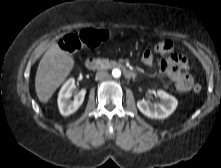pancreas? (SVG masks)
Segmentation results:
<instances>
[{
	"label": "pancreas",
	"mask_w": 221,
	"mask_h": 168,
	"mask_svg": "<svg viewBox=\"0 0 221 168\" xmlns=\"http://www.w3.org/2000/svg\"><path fill=\"white\" fill-rule=\"evenodd\" d=\"M97 64L101 69H109L116 66L117 62L109 59H97Z\"/></svg>",
	"instance_id": "obj_1"
}]
</instances>
